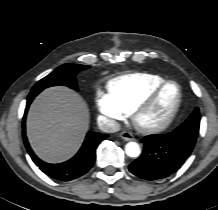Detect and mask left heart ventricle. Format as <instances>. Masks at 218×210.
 <instances>
[{
    "label": "left heart ventricle",
    "mask_w": 218,
    "mask_h": 210,
    "mask_svg": "<svg viewBox=\"0 0 218 210\" xmlns=\"http://www.w3.org/2000/svg\"><path fill=\"white\" fill-rule=\"evenodd\" d=\"M177 99V86L174 84L166 86L155 103L139 117V123L143 126L161 123L170 114Z\"/></svg>",
    "instance_id": "1"
}]
</instances>
